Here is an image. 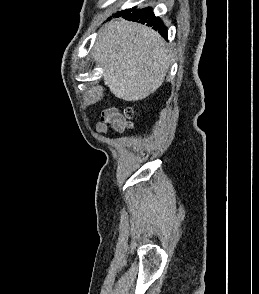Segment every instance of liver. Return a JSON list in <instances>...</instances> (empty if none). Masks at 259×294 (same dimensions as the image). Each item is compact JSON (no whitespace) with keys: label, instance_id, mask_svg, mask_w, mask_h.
Here are the masks:
<instances>
[{"label":"liver","instance_id":"1","mask_svg":"<svg viewBox=\"0 0 259 294\" xmlns=\"http://www.w3.org/2000/svg\"><path fill=\"white\" fill-rule=\"evenodd\" d=\"M103 69L110 91L125 101H138L154 93L164 82L171 59L160 34L124 19L101 28L92 51Z\"/></svg>","mask_w":259,"mask_h":294}]
</instances>
